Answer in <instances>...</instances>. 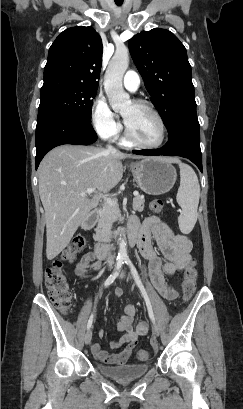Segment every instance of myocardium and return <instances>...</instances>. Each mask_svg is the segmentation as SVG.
<instances>
[{
	"mask_svg": "<svg viewBox=\"0 0 243 409\" xmlns=\"http://www.w3.org/2000/svg\"><path fill=\"white\" fill-rule=\"evenodd\" d=\"M132 103L137 106L146 108L154 116V118L157 120L159 124L160 138L157 142H154V143H147V142L141 141L132 134L129 126L125 123V134H126V138L129 141V143L140 146V147H144V148H158L162 146L166 140L167 130H166L165 122L162 116L160 115V113L156 110V108L151 103H149L146 100L135 99L132 101Z\"/></svg>",
	"mask_w": 243,
	"mask_h": 409,
	"instance_id": "1",
	"label": "myocardium"
}]
</instances>
